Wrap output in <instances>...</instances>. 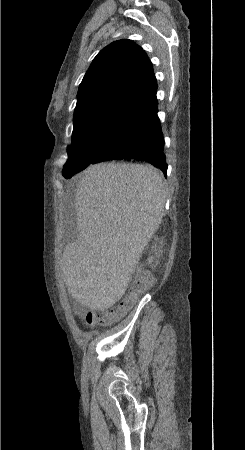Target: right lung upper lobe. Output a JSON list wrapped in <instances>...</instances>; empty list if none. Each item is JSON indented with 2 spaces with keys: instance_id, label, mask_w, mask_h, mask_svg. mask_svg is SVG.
<instances>
[{
  "instance_id": "obj_1",
  "label": "right lung upper lobe",
  "mask_w": 245,
  "mask_h": 450,
  "mask_svg": "<svg viewBox=\"0 0 245 450\" xmlns=\"http://www.w3.org/2000/svg\"><path fill=\"white\" fill-rule=\"evenodd\" d=\"M157 82L144 50L131 40L102 49L91 63L78 90L74 111L110 105L139 113L157 103Z\"/></svg>"
}]
</instances>
